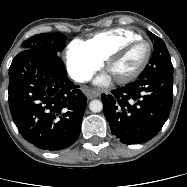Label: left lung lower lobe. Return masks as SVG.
Returning <instances> with one entry per match:
<instances>
[{
  "instance_id": "1",
  "label": "left lung lower lobe",
  "mask_w": 187,
  "mask_h": 187,
  "mask_svg": "<svg viewBox=\"0 0 187 187\" xmlns=\"http://www.w3.org/2000/svg\"><path fill=\"white\" fill-rule=\"evenodd\" d=\"M172 98L173 74L138 79L101 96L111 132L125 144L152 139L169 116Z\"/></svg>"
}]
</instances>
